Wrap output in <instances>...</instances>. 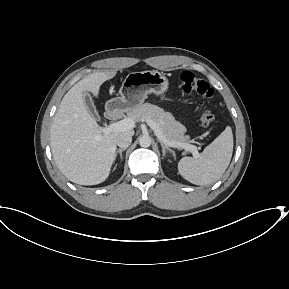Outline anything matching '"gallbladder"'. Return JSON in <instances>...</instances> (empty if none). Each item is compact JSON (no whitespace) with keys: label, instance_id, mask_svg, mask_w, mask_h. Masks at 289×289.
<instances>
[{"label":"gallbladder","instance_id":"bac80fb5","mask_svg":"<svg viewBox=\"0 0 289 289\" xmlns=\"http://www.w3.org/2000/svg\"><path fill=\"white\" fill-rule=\"evenodd\" d=\"M83 99H84L85 105H86L88 111L90 112V114L92 115V117L96 120H99V115L96 112L92 98L87 91L83 92Z\"/></svg>","mask_w":289,"mask_h":289}]
</instances>
